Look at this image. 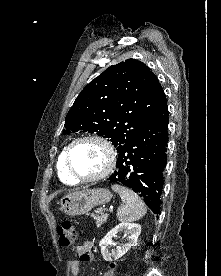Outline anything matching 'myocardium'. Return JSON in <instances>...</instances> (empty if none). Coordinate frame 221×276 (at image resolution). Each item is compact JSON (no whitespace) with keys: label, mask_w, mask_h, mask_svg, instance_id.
<instances>
[{"label":"myocardium","mask_w":221,"mask_h":276,"mask_svg":"<svg viewBox=\"0 0 221 276\" xmlns=\"http://www.w3.org/2000/svg\"><path fill=\"white\" fill-rule=\"evenodd\" d=\"M84 141H94L97 142L98 144H100L106 151L107 154V161H106V165L103 168V170L101 172H99L98 174L94 175V176H89V177H85V176H80L78 174H76L71 166V151L73 149V147L80 143V142H84ZM65 166H66V170L68 172V174L76 181L78 182H95V181H99L105 177H107L114 169L115 165H116V152L115 149L112 145V143L107 140L106 138L100 136V135H94V134H90V135H84L81 137H78L76 139H74L66 148L65 150Z\"/></svg>","instance_id":"myocardium-1"}]
</instances>
